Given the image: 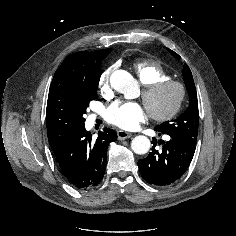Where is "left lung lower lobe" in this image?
Returning <instances> with one entry per match:
<instances>
[{
	"label": "left lung lower lobe",
	"mask_w": 236,
	"mask_h": 236,
	"mask_svg": "<svg viewBox=\"0 0 236 236\" xmlns=\"http://www.w3.org/2000/svg\"><path fill=\"white\" fill-rule=\"evenodd\" d=\"M169 136L167 142L158 141L160 145L163 144L160 151L155 149L157 140L153 138L152 151L138 161L140 173L149 184L165 186L174 183L181 178L192 161L196 144L177 136Z\"/></svg>",
	"instance_id": "0a47b994"
}]
</instances>
